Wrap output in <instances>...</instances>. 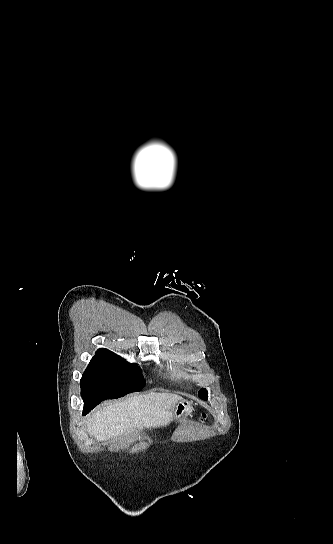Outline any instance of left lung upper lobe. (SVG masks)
Segmentation results:
<instances>
[{"label": "left lung upper lobe", "instance_id": "5c2ea615", "mask_svg": "<svg viewBox=\"0 0 333 544\" xmlns=\"http://www.w3.org/2000/svg\"><path fill=\"white\" fill-rule=\"evenodd\" d=\"M198 396H199L201 399L207 397V391H206V389H202V390L198 393Z\"/></svg>", "mask_w": 333, "mask_h": 544}]
</instances>
